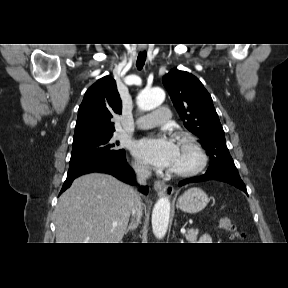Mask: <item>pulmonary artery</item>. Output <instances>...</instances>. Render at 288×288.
Masks as SVG:
<instances>
[{"instance_id": "e3ab8cb5", "label": "pulmonary artery", "mask_w": 288, "mask_h": 288, "mask_svg": "<svg viewBox=\"0 0 288 288\" xmlns=\"http://www.w3.org/2000/svg\"><path fill=\"white\" fill-rule=\"evenodd\" d=\"M170 115V111L167 107H159L152 113L144 115L140 119L138 127L141 129H151L163 126L168 123Z\"/></svg>"}]
</instances>
